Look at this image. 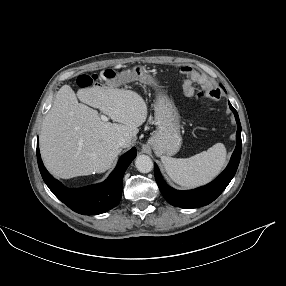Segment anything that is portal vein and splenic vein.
Here are the masks:
<instances>
[{"label":"portal vein and splenic vein","instance_id":"obj_1","mask_svg":"<svg viewBox=\"0 0 286 286\" xmlns=\"http://www.w3.org/2000/svg\"><path fill=\"white\" fill-rule=\"evenodd\" d=\"M101 119H102V121H104V122H107V121H108V118H107V116H105V115H101Z\"/></svg>","mask_w":286,"mask_h":286}]
</instances>
